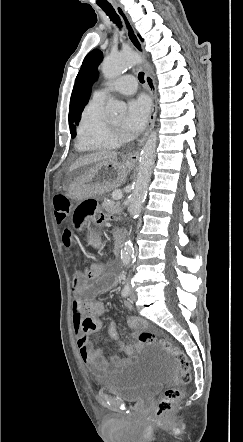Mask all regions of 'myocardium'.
I'll return each mask as SVG.
<instances>
[{
	"instance_id": "f54148a6",
	"label": "myocardium",
	"mask_w": 243,
	"mask_h": 442,
	"mask_svg": "<svg viewBox=\"0 0 243 442\" xmlns=\"http://www.w3.org/2000/svg\"><path fill=\"white\" fill-rule=\"evenodd\" d=\"M106 132L108 137L115 142L119 143L125 139L122 128L115 127L110 121L106 122Z\"/></svg>"
}]
</instances>
